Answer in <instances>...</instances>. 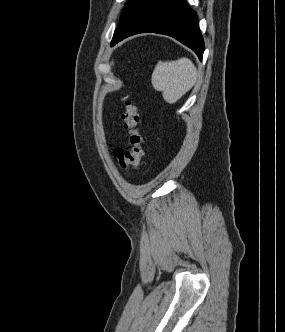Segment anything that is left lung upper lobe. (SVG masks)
<instances>
[{
	"instance_id": "5c2ea615",
	"label": "left lung upper lobe",
	"mask_w": 285,
	"mask_h": 332,
	"mask_svg": "<svg viewBox=\"0 0 285 332\" xmlns=\"http://www.w3.org/2000/svg\"><path fill=\"white\" fill-rule=\"evenodd\" d=\"M151 1L152 0H128V3L125 5L123 14L120 18L119 26L114 32L112 41L129 26V24Z\"/></svg>"
}]
</instances>
